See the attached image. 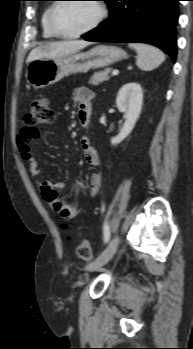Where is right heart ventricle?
<instances>
[{"mask_svg": "<svg viewBox=\"0 0 193 349\" xmlns=\"http://www.w3.org/2000/svg\"><path fill=\"white\" fill-rule=\"evenodd\" d=\"M52 4L46 6V8L43 10L42 15H41V27H42V34L43 37L46 39H51L55 37L51 31L49 30L48 23H47V17H48V12L50 10V7Z\"/></svg>", "mask_w": 193, "mask_h": 349, "instance_id": "1", "label": "right heart ventricle"}]
</instances>
